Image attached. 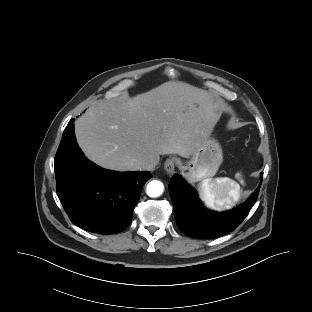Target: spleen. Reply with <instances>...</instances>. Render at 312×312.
<instances>
[{
    "mask_svg": "<svg viewBox=\"0 0 312 312\" xmlns=\"http://www.w3.org/2000/svg\"><path fill=\"white\" fill-rule=\"evenodd\" d=\"M236 177L240 179L241 174L237 173ZM198 190L206 206L215 210L230 209L241 195L240 185L228 177L205 179L199 184Z\"/></svg>",
    "mask_w": 312,
    "mask_h": 312,
    "instance_id": "1",
    "label": "spleen"
}]
</instances>
